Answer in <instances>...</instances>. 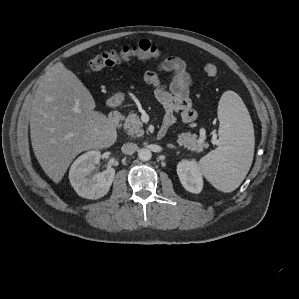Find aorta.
Returning a JSON list of instances; mask_svg holds the SVG:
<instances>
[{
    "instance_id": "aorta-1",
    "label": "aorta",
    "mask_w": 299,
    "mask_h": 299,
    "mask_svg": "<svg viewBox=\"0 0 299 299\" xmlns=\"http://www.w3.org/2000/svg\"><path fill=\"white\" fill-rule=\"evenodd\" d=\"M138 157L142 161H149L152 157V153L149 149L142 148L138 152Z\"/></svg>"
}]
</instances>
